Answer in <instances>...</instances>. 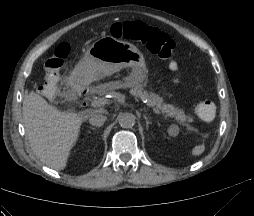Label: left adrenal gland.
I'll list each match as a JSON object with an SVG mask.
<instances>
[{"label": "left adrenal gland", "instance_id": "obj_1", "mask_svg": "<svg viewBox=\"0 0 254 216\" xmlns=\"http://www.w3.org/2000/svg\"><path fill=\"white\" fill-rule=\"evenodd\" d=\"M145 121H146V128L148 129L149 128V124H150V121L148 119V117L146 115L143 116Z\"/></svg>", "mask_w": 254, "mask_h": 216}]
</instances>
